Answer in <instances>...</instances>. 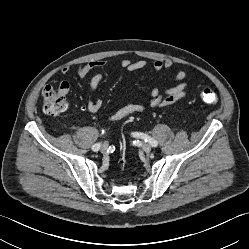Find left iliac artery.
<instances>
[{
  "mask_svg": "<svg viewBox=\"0 0 249 249\" xmlns=\"http://www.w3.org/2000/svg\"><path fill=\"white\" fill-rule=\"evenodd\" d=\"M134 136L144 139L145 142H148L153 147H156L158 145V142L155 139L144 133H134Z\"/></svg>",
  "mask_w": 249,
  "mask_h": 249,
  "instance_id": "obj_1",
  "label": "left iliac artery"
}]
</instances>
